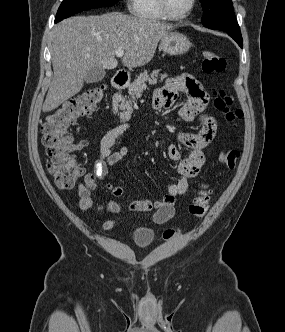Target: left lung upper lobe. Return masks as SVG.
I'll list each match as a JSON object with an SVG mask.
<instances>
[{
  "label": "left lung upper lobe",
  "mask_w": 285,
  "mask_h": 332,
  "mask_svg": "<svg viewBox=\"0 0 285 332\" xmlns=\"http://www.w3.org/2000/svg\"><path fill=\"white\" fill-rule=\"evenodd\" d=\"M203 8L202 23L210 29L239 31L231 0H200Z\"/></svg>",
  "instance_id": "5c2ea615"
}]
</instances>
